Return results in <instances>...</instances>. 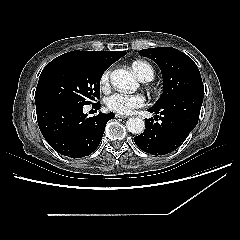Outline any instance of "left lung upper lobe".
Here are the masks:
<instances>
[{"instance_id":"5c2ea615","label":"left lung upper lobe","mask_w":240,"mask_h":240,"mask_svg":"<svg viewBox=\"0 0 240 240\" xmlns=\"http://www.w3.org/2000/svg\"><path fill=\"white\" fill-rule=\"evenodd\" d=\"M160 67L163 77V93L153 107H161L178 95L204 90L197 65L183 52L171 47L140 50Z\"/></svg>"}]
</instances>
